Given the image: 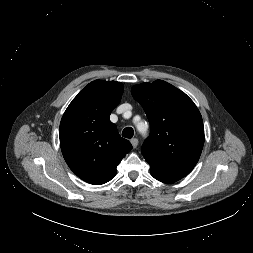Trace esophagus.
Wrapping results in <instances>:
<instances>
[{
  "instance_id": "obj_1",
  "label": "esophagus",
  "mask_w": 253,
  "mask_h": 253,
  "mask_svg": "<svg viewBox=\"0 0 253 253\" xmlns=\"http://www.w3.org/2000/svg\"><path fill=\"white\" fill-rule=\"evenodd\" d=\"M130 142H131L133 148H136L138 146V139L137 138H132L130 140Z\"/></svg>"
}]
</instances>
